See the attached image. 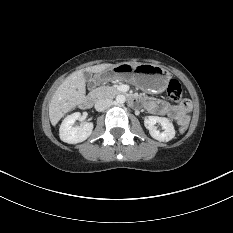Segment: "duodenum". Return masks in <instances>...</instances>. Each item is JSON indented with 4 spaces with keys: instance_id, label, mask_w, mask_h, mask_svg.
Returning <instances> with one entry per match:
<instances>
[{
    "instance_id": "410a0bca",
    "label": "duodenum",
    "mask_w": 233,
    "mask_h": 233,
    "mask_svg": "<svg viewBox=\"0 0 233 233\" xmlns=\"http://www.w3.org/2000/svg\"><path fill=\"white\" fill-rule=\"evenodd\" d=\"M95 82L92 83V86H95ZM131 102L133 104H137L138 103V99L137 98H134V97H131L130 98ZM94 103V96L93 95H87L86 97H84V99L82 100V103H81V106L84 108V109H88L90 108Z\"/></svg>"
}]
</instances>
